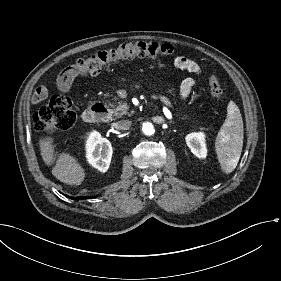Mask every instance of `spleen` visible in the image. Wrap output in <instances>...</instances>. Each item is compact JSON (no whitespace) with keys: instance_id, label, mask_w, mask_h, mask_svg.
<instances>
[{"instance_id":"spleen-1","label":"spleen","mask_w":281,"mask_h":281,"mask_svg":"<svg viewBox=\"0 0 281 281\" xmlns=\"http://www.w3.org/2000/svg\"><path fill=\"white\" fill-rule=\"evenodd\" d=\"M244 129L243 119L238 106L230 101L227 107V118L222 125L215 149L221 169L231 173L236 168L243 148Z\"/></svg>"}]
</instances>
